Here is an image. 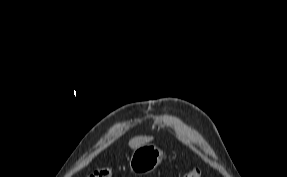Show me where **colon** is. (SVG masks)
<instances>
[{
    "label": "colon",
    "mask_w": 287,
    "mask_h": 177,
    "mask_svg": "<svg viewBox=\"0 0 287 177\" xmlns=\"http://www.w3.org/2000/svg\"><path fill=\"white\" fill-rule=\"evenodd\" d=\"M89 177H112V170L109 167H101L96 169ZM182 177H202V172L199 168H191Z\"/></svg>",
    "instance_id": "colon-1"
}]
</instances>
